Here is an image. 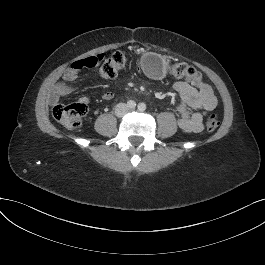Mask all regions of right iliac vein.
Returning a JSON list of instances; mask_svg holds the SVG:
<instances>
[{"label":"right iliac vein","instance_id":"obj_1","mask_svg":"<svg viewBox=\"0 0 265 265\" xmlns=\"http://www.w3.org/2000/svg\"><path fill=\"white\" fill-rule=\"evenodd\" d=\"M123 108H124V106H121V107H120V109H123Z\"/></svg>","mask_w":265,"mask_h":265}]
</instances>
